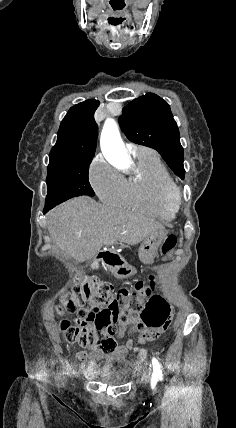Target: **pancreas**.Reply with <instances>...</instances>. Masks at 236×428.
Wrapping results in <instances>:
<instances>
[{"label":"pancreas","mask_w":236,"mask_h":428,"mask_svg":"<svg viewBox=\"0 0 236 428\" xmlns=\"http://www.w3.org/2000/svg\"><path fill=\"white\" fill-rule=\"evenodd\" d=\"M95 268H98V264H95Z\"/></svg>","instance_id":"cf45deb5"}]
</instances>
